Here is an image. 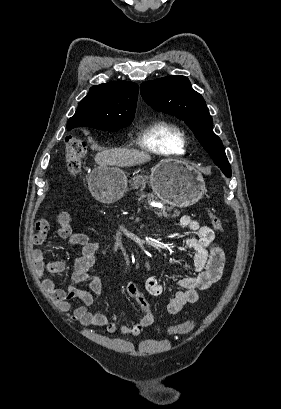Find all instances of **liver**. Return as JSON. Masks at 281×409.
Instances as JSON below:
<instances>
[{
    "mask_svg": "<svg viewBox=\"0 0 281 409\" xmlns=\"http://www.w3.org/2000/svg\"><path fill=\"white\" fill-rule=\"evenodd\" d=\"M151 160L150 154L144 150H130V148H111L103 150L95 156V162L100 166L114 164V166H134Z\"/></svg>",
    "mask_w": 281,
    "mask_h": 409,
    "instance_id": "liver-1",
    "label": "liver"
}]
</instances>
